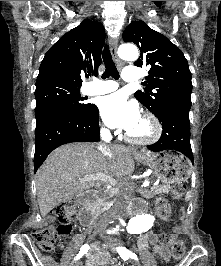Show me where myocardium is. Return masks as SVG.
I'll return each mask as SVG.
<instances>
[{
	"label": "myocardium",
	"instance_id": "f54148a6",
	"mask_svg": "<svg viewBox=\"0 0 221 266\" xmlns=\"http://www.w3.org/2000/svg\"><path fill=\"white\" fill-rule=\"evenodd\" d=\"M143 121L148 126V133L144 136H136L131 132H127L126 137L128 141L138 145H146L156 141L161 133H162V126L159 120L152 114H145L143 117Z\"/></svg>",
	"mask_w": 221,
	"mask_h": 266
}]
</instances>
